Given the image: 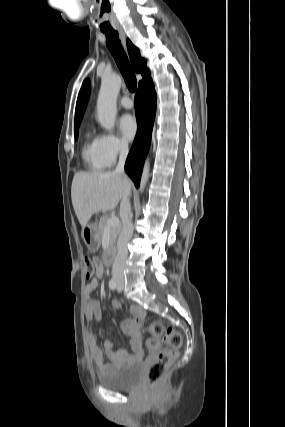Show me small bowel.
<instances>
[{"instance_id":"c3829d8e","label":"small bowel","mask_w":285,"mask_h":427,"mask_svg":"<svg viewBox=\"0 0 285 427\" xmlns=\"http://www.w3.org/2000/svg\"><path fill=\"white\" fill-rule=\"evenodd\" d=\"M93 261L96 263L95 277L85 286V294L87 296L85 317L89 322L92 321L93 318L97 321H102L100 302L90 295L98 287L99 280L104 274V267L99 259L95 258ZM111 306L118 311H121L123 308L121 302L117 300H113ZM130 313L132 314V318L124 320L121 323V329L130 338L131 352L129 353L124 349H117L113 341L107 340L104 342V350L107 358L110 360L109 363L105 361L103 352L97 345L92 331L89 330L88 332L87 340L90 357L101 372H114L116 369L142 358L141 325L146 312L143 308L133 305L130 307Z\"/></svg>"}]
</instances>
